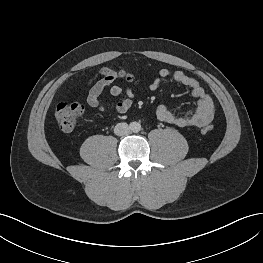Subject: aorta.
<instances>
[{"label": "aorta", "mask_w": 263, "mask_h": 263, "mask_svg": "<svg viewBox=\"0 0 263 263\" xmlns=\"http://www.w3.org/2000/svg\"><path fill=\"white\" fill-rule=\"evenodd\" d=\"M141 129V125L138 122H132L131 123V130L133 132H139Z\"/></svg>", "instance_id": "1"}]
</instances>
